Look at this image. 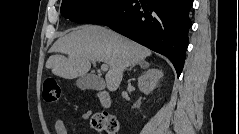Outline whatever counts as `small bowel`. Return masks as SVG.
I'll return each instance as SVG.
<instances>
[{"mask_svg":"<svg viewBox=\"0 0 239 134\" xmlns=\"http://www.w3.org/2000/svg\"><path fill=\"white\" fill-rule=\"evenodd\" d=\"M92 116V111L91 110H85L81 114L82 120L86 121ZM54 131L55 134H68V129L65 125V123L60 119H56L54 123Z\"/></svg>","mask_w":239,"mask_h":134,"instance_id":"1","label":"small bowel"}]
</instances>
